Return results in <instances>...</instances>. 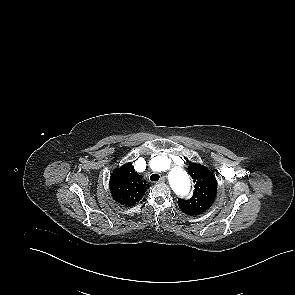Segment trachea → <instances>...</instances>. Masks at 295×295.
<instances>
[{
	"label": "trachea",
	"mask_w": 295,
	"mask_h": 295,
	"mask_svg": "<svg viewBox=\"0 0 295 295\" xmlns=\"http://www.w3.org/2000/svg\"><path fill=\"white\" fill-rule=\"evenodd\" d=\"M159 178H160V176H159L158 174H152V175L150 176V180H151V181H158Z\"/></svg>",
	"instance_id": "obj_1"
}]
</instances>
